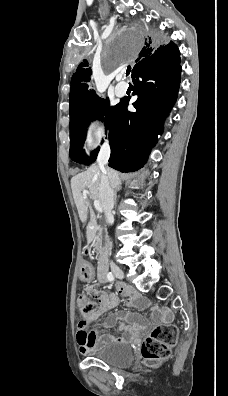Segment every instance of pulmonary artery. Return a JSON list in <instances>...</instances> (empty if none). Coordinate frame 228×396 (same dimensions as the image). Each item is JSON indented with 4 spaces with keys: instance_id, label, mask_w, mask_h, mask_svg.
I'll use <instances>...</instances> for the list:
<instances>
[{
    "instance_id": "obj_1",
    "label": "pulmonary artery",
    "mask_w": 228,
    "mask_h": 396,
    "mask_svg": "<svg viewBox=\"0 0 228 396\" xmlns=\"http://www.w3.org/2000/svg\"><path fill=\"white\" fill-rule=\"evenodd\" d=\"M125 92H126V86L125 85H121L120 87H118L116 89V95L118 97H122L125 94Z\"/></svg>"
}]
</instances>
